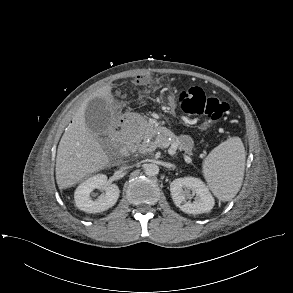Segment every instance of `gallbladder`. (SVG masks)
<instances>
[{
  "instance_id": "bac80fb5",
  "label": "gallbladder",
  "mask_w": 293,
  "mask_h": 293,
  "mask_svg": "<svg viewBox=\"0 0 293 293\" xmlns=\"http://www.w3.org/2000/svg\"><path fill=\"white\" fill-rule=\"evenodd\" d=\"M85 122L88 129L96 134H104L112 123V112L107 100L91 99L85 109Z\"/></svg>"
}]
</instances>
